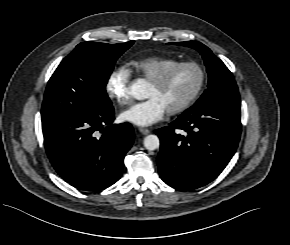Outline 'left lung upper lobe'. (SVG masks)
I'll return each mask as SVG.
<instances>
[{
	"label": "left lung upper lobe",
	"mask_w": 290,
	"mask_h": 245,
	"mask_svg": "<svg viewBox=\"0 0 290 245\" xmlns=\"http://www.w3.org/2000/svg\"><path fill=\"white\" fill-rule=\"evenodd\" d=\"M169 44L196 49L202 55L207 67L209 75L208 88L192 107L209 103L240 106V96L232 73L208 47L197 41L173 42Z\"/></svg>",
	"instance_id": "1"
}]
</instances>
